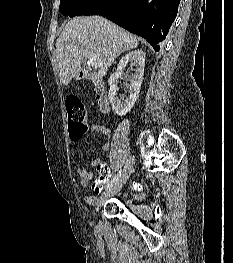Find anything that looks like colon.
I'll use <instances>...</instances> for the list:
<instances>
[{"label": "colon", "instance_id": "colon-1", "mask_svg": "<svg viewBox=\"0 0 233 263\" xmlns=\"http://www.w3.org/2000/svg\"><path fill=\"white\" fill-rule=\"evenodd\" d=\"M66 111L68 117L69 136L72 140H80L87 131L88 112L83 102L77 97H71L66 102ZM97 183L92 184L96 195H108L105 190L106 185L100 183H109L111 180L110 171H97Z\"/></svg>", "mask_w": 233, "mask_h": 263}]
</instances>
